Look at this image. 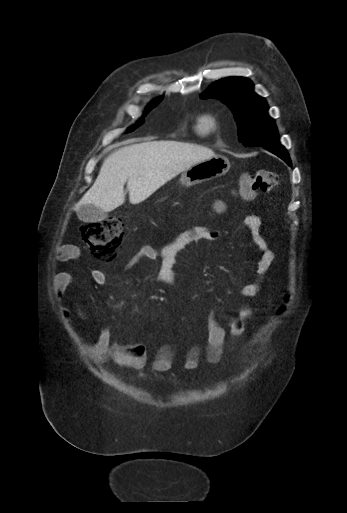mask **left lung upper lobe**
I'll return each instance as SVG.
<instances>
[{"label":"left lung upper lobe","mask_w":347,"mask_h":513,"mask_svg":"<svg viewBox=\"0 0 347 513\" xmlns=\"http://www.w3.org/2000/svg\"><path fill=\"white\" fill-rule=\"evenodd\" d=\"M200 97L218 98L228 105L238 125V139L245 146L280 144L275 122L267 113V103L253 92L249 79L232 77L216 81Z\"/></svg>","instance_id":"1"}]
</instances>
